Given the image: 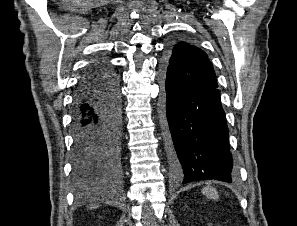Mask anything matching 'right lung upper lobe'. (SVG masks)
Instances as JSON below:
<instances>
[{
  "label": "right lung upper lobe",
  "instance_id": "cb5924a9",
  "mask_svg": "<svg viewBox=\"0 0 297 226\" xmlns=\"http://www.w3.org/2000/svg\"><path fill=\"white\" fill-rule=\"evenodd\" d=\"M88 74V73H87ZM87 74L83 77L82 81H84L87 78Z\"/></svg>",
  "mask_w": 297,
  "mask_h": 226
}]
</instances>
